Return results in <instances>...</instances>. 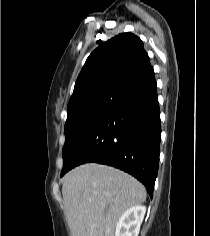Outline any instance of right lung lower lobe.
Wrapping results in <instances>:
<instances>
[{
  "mask_svg": "<svg viewBox=\"0 0 210 236\" xmlns=\"http://www.w3.org/2000/svg\"><path fill=\"white\" fill-rule=\"evenodd\" d=\"M160 111L154 74L128 89L89 131L61 176L83 163L119 168L142 182L150 197L158 172Z\"/></svg>",
  "mask_w": 210,
  "mask_h": 236,
  "instance_id": "right-lung-lower-lobe-1",
  "label": "right lung lower lobe"
}]
</instances>
